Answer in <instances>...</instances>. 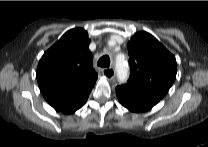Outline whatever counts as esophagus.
I'll return each instance as SVG.
<instances>
[{"label": "esophagus", "instance_id": "obj_1", "mask_svg": "<svg viewBox=\"0 0 208 147\" xmlns=\"http://www.w3.org/2000/svg\"><path fill=\"white\" fill-rule=\"evenodd\" d=\"M102 73H103V75H104L107 79H109V80H113L114 77H115V70H114L113 67H110V68H104V69L102 70Z\"/></svg>", "mask_w": 208, "mask_h": 147}]
</instances>
